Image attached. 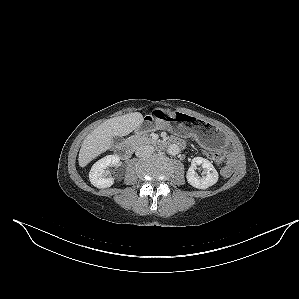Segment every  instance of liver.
Returning a JSON list of instances; mask_svg holds the SVG:
<instances>
[{"label": "liver", "instance_id": "1", "mask_svg": "<svg viewBox=\"0 0 299 299\" xmlns=\"http://www.w3.org/2000/svg\"><path fill=\"white\" fill-rule=\"evenodd\" d=\"M143 115L139 112L129 113L106 120L95 128L84 139L79 151L78 162L85 167L94 158L112 147L114 136H126L143 123Z\"/></svg>", "mask_w": 299, "mask_h": 299}]
</instances>
